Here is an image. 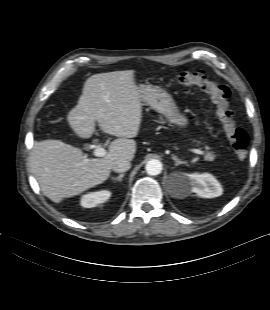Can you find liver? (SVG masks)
<instances>
[{
  "label": "liver",
  "instance_id": "liver-1",
  "mask_svg": "<svg viewBox=\"0 0 270 310\" xmlns=\"http://www.w3.org/2000/svg\"><path fill=\"white\" fill-rule=\"evenodd\" d=\"M134 70L114 71L89 77L78 104L67 121L80 138H90L95 122L100 129L118 137L103 158H87L81 149L60 140L34 143L30 157L32 172L43 194L55 203L103 183L112 165L120 159L133 160L142 121V104Z\"/></svg>",
  "mask_w": 270,
  "mask_h": 310
}]
</instances>
